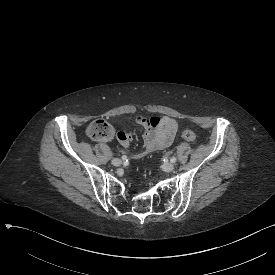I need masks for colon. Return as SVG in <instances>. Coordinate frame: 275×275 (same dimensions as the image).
Here are the masks:
<instances>
[{
    "mask_svg": "<svg viewBox=\"0 0 275 275\" xmlns=\"http://www.w3.org/2000/svg\"><path fill=\"white\" fill-rule=\"evenodd\" d=\"M85 132L88 139L93 141H104L113 136L111 125L104 119H96L92 121L86 128ZM181 135L188 142H194L196 140V134L190 129H183Z\"/></svg>",
    "mask_w": 275,
    "mask_h": 275,
    "instance_id": "5ec220e1",
    "label": "colon"
}]
</instances>
